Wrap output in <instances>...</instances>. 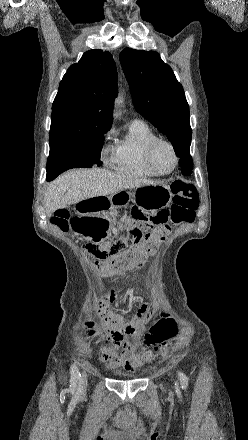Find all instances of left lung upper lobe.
Masks as SVG:
<instances>
[{
  "label": "left lung upper lobe",
  "instance_id": "left-lung-upper-lobe-1",
  "mask_svg": "<svg viewBox=\"0 0 248 440\" xmlns=\"http://www.w3.org/2000/svg\"><path fill=\"white\" fill-rule=\"evenodd\" d=\"M120 63L129 83L133 104L172 143L184 175L191 174L192 130L182 85L171 67L153 51L125 48Z\"/></svg>",
  "mask_w": 248,
  "mask_h": 440
}]
</instances>
